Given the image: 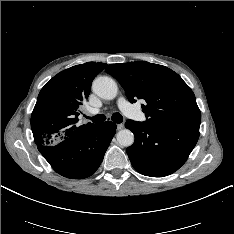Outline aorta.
<instances>
[{
	"label": "aorta",
	"instance_id": "obj_1",
	"mask_svg": "<svg viewBox=\"0 0 234 234\" xmlns=\"http://www.w3.org/2000/svg\"><path fill=\"white\" fill-rule=\"evenodd\" d=\"M93 92L102 99L112 100L117 96L118 87L116 82L107 76L96 78L92 84ZM117 141L121 146L129 147L134 143V135L128 129L117 133Z\"/></svg>",
	"mask_w": 234,
	"mask_h": 234
}]
</instances>
